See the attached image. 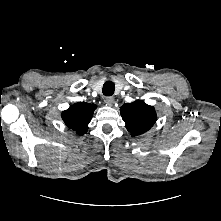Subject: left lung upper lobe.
<instances>
[{
	"instance_id": "obj_1",
	"label": "left lung upper lobe",
	"mask_w": 221,
	"mask_h": 221,
	"mask_svg": "<svg viewBox=\"0 0 221 221\" xmlns=\"http://www.w3.org/2000/svg\"><path fill=\"white\" fill-rule=\"evenodd\" d=\"M120 111L122 119L126 123V128L132 136L148 131L157 119L154 107L147 105L142 100L124 104Z\"/></svg>"
}]
</instances>
